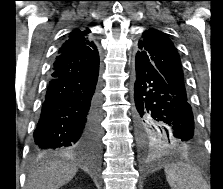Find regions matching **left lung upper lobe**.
<instances>
[{
    "label": "left lung upper lobe",
    "instance_id": "left-lung-upper-lobe-1",
    "mask_svg": "<svg viewBox=\"0 0 223 189\" xmlns=\"http://www.w3.org/2000/svg\"><path fill=\"white\" fill-rule=\"evenodd\" d=\"M135 60L155 68L164 79L174 86L188 100L184 74L177 49L171 40L162 32L150 28L144 31L138 42ZM143 144L151 147L189 149L182 147L158 126H148L140 131Z\"/></svg>",
    "mask_w": 223,
    "mask_h": 189
}]
</instances>
